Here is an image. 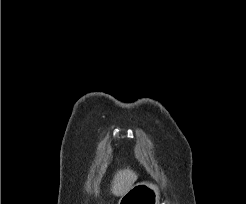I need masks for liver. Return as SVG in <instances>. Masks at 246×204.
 Masks as SVG:
<instances>
[{
    "instance_id": "1",
    "label": "liver",
    "mask_w": 246,
    "mask_h": 204,
    "mask_svg": "<svg viewBox=\"0 0 246 204\" xmlns=\"http://www.w3.org/2000/svg\"><path fill=\"white\" fill-rule=\"evenodd\" d=\"M137 177V174L129 168L117 171L112 181V193L123 196L133 187Z\"/></svg>"
}]
</instances>
